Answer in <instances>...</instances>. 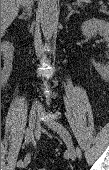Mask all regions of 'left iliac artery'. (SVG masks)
I'll use <instances>...</instances> for the list:
<instances>
[{
  "label": "left iliac artery",
  "mask_w": 109,
  "mask_h": 170,
  "mask_svg": "<svg viewBox=\"0 0 109 170\" xmlns=\"http://www.w3.org/2000/svg\"><path fill=\"white\" fill-rule=\"evenodd\" d=\"M77 156H78L79 158H81V151H80L79 148H77Z\"/></svg>",
  "instance_id": "left-iliac-artery-1"
}]
</instances>
